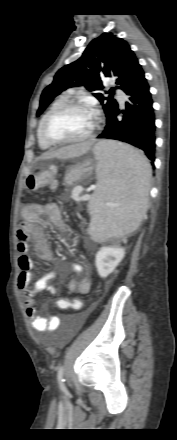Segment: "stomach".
Wrapping results in <instances>:
<instances>
[{
  "label": "stomach",
  "instance_id": "stomach-1",
  "mask_svg": "<svg viewBox=\"0 0 177 440\" xmlns=\"http://www.w3.org/2000/svg\"><path fill=\"white\" fill-rule=\"evenodd\" d=\"M96 164L93 159L87 158L82 163L69 167L65 173L64 184L73 186L87 178L95 170Z\"/></svg>",
  "mask_w": 177,
  "mask_h": 440
}]
</instances>
